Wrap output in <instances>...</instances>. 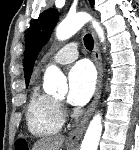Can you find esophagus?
<instances>
[{"label":"esophagus","mask_w":139,"mask_h":150,"mask_svg":"<svg viewBox=\"0 0 139 150\" xmlns=\"http://www.w3.org/2000/svg\"><path fill=\"white\" fill-rule=\"evenodd\" d=\"M93 40H94V49H93V57L98 71V78H97V86L96 91L93 97V100L85 113L84 117L80 121V123L75 127V129L70 133L69 137L67 138L66 142L68 144H76L80 141L83 136V133L87 127L89 119L91 118L101 95L102 90V79H103V67L102 61L100 56L99 44L96 38L95 31L91 28Z\"/></svg>","instance_id":"esophagus-1"}]
</instances>
